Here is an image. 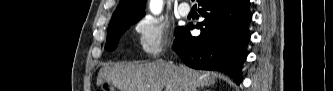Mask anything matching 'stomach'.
I'll return each instance as SVG.
<instances>
[{
	"label": "stomach",
	"mask_w": 333,
	"mask_h": 91,
	"mask_svg": "<svg viewBox=\"0 0 333 91\" xmlns=\"http://www.w3.org/2000/svg\"><path fill=\"white\" fill-rule=\"evenodd\" d=\"M100 89L101 91H115V87L106 80L101 83Z\"/></svg>",
	"instance_id": "1"
}]
</instances>
